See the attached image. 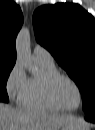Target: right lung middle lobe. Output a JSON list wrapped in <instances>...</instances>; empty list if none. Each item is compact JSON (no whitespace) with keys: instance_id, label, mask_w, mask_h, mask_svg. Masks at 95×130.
Here are the masks:
<instances>
[{"instance_id":"1","label":"right lung middle lobe","mask_w":95,"mask_h":130,"mask_svg":"<svg viewBox=\"0 0 95 130\" xmlns=\"http://www.w3.org/2000/svg\"><path fill=\"white\" fill-rule=\"evenodd\" d=\"M14 64H0V101L8 102L6 83Z\"/></svg>"}]
</instances>
